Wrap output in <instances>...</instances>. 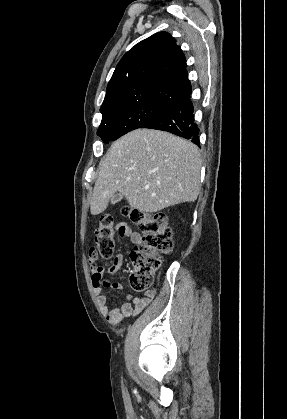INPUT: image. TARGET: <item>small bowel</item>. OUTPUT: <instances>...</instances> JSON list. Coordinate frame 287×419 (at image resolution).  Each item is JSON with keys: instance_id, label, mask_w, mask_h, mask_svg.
Returning a JSON list of instances; mask_svg holds the SVG:
<instances>
[{"instance_id": "c3829d8e", "label": "small bowel", "mask_w": 287, "mask_h": 419, "mask_svg": "<svg viewBox=\"0 0 287 419\" xmlns=\"http://www.w3.org/2000/svg\"><path fill=\"white\" fill-rule=\"evenodd\" d=\"M118 230L121 236L130 238L133 243H139L141 241L140 234L135 232L126 223H119ZM122 263V254L116 255L112 265L107 269L98 264L96 251H92L89 258V266L92 272V282L98 304L101 307L103 315L113 324L119 323L125 318L138 315L152 302L155 297V293L152 291L147 292L143 297L129 294L126 297V300L119 306L110 308L107 297L103 292V288L121 290L123 289V284L120 282H110L105 279L104 276L105 274H115L120 269Z\"/></svg>"}]
</instances>
